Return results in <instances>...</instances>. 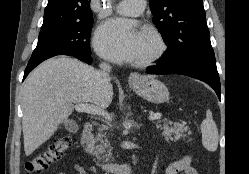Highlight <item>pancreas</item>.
Wrapping results in <instances>:
<instances>
[{"label": "pancreas", "mask_w": 249, "mask_h": 174, "mask_svg": "<svg viewBox=\"0 0 249 174\" xmlns=\"http://www.w3.org/2000/svg\"><path fill=\"white\" fill-rule=\"evenodd\" d=\"M156 126L158 129L163 130L162 135L166 139L174 141L186 137V132L188 131V126L185 124L174 123L172 126V122L168 121L166 118L163 120H158ZM190 134L191 132H189V135ZM111 150L112 148H110L106 134L99 133L91 149L92 153L95 154L98 159H103L105 162H108L111 156Z\"/></svg>", "instance_id": "1"}]
</instances>
